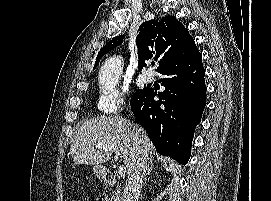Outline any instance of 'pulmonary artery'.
Returning a JSON list of instances; mask_svg holds the SVG:
<instances>
[{
  "instance_id": "e3ab8cb5",
  "label": "pulmonary artery",
  "mask_w": 271,
  "mask_h": 201,
  "mask_svg": "<svg viewBox=\"0 0 271 201\" xmlns=\"http://www.w3.org/2000/svg\"><path fill=\"white\" fill-rule=\"evenodd\" d=\"M154 79V76L152 74L151 71H145L143 74H142V80L146 83H149V82H152Z\"/></svg>"
}]
</instances>
